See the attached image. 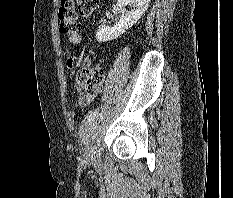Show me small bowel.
<instances>
[{
    "label": "small bowel",
    "mask_w": 233,
    "mask_h": 198,
    "mask_svg": "<svg viewBox=\"0 0 233 198\" xmlns=\"http://www.w3.org/2000/svg\"><path fill=\"white\" fill-rule=\"evenodd\" d=\"M96 95H97V92L94 93V94H84V93H81L78 96V104L80 106H86V105H88L89 103H91L95 99Z\"/></svg>",
    "instance_id": "1"
}]
</instances>
